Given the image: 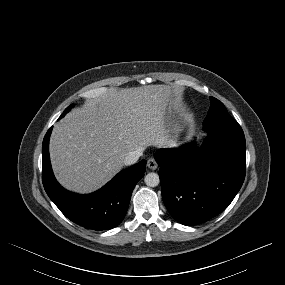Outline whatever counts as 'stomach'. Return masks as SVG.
I'll use <instances>...</instances> for the list:
<instances>
[{"label": "stomach", "mask_w": 285, "mask_h": 285, "mask_svg": "<svg viewBox=\"0 0 285 285\" xmlns=\"http://www.w3.org/2000/svg\"><path fill=\"white\" fill-rule=\"evenodd\" d=\"M169 93H170V95H171V97H172L173 91H172L171 89H169Z\"/></svg>", "instance_id": "0dacf381"}]
</instances>
